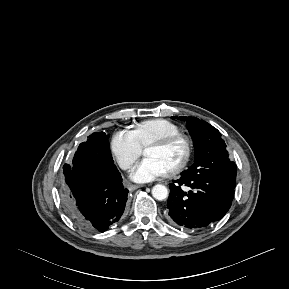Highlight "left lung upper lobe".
Instances as JSON below:
<instances>
[{"instance_id": "1", "label": "left lung upper lobe", "mask_w": 289, "mask_h": 289, "mask_svg": "<svg viewBox=\"0 0 289 289\" xmlns=\"http://www.w3.org/2000/svg\"><path fill=\"white\" fill-rule=\"evenodd\" d=\"M176 118V117H172ZM187 122L195 147V162L181 174L185 176L218 173L236 180L237 167L230 161L221 133L212 125L196 117H178Z\"/></svg>"}]
</instances>
